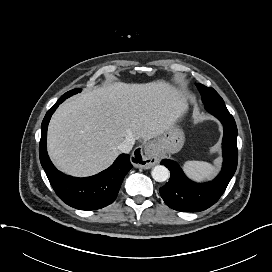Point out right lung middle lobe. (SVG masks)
Here are the masks:
<instances>
[{
    "label": "right lung middle lobe",
    "instance_id": "dd1d6c3e",
    "mask_svg": "<svg viewBox=\"0 0 272 272\" xmlns=\"http://www.w3.org/2000/svg\"><path fill=\"white\" fill-rule=\"evenodd\" d=\"M80 91H81L80 89H73V90L65 93L64 95H62L59 100H62V102H63L66 98H68V97H70V96H72V95H74V94H76V93H78Z\"/></svg>",
    "mask_w": 272,
    "mask_h": 272
}]
</instances>
